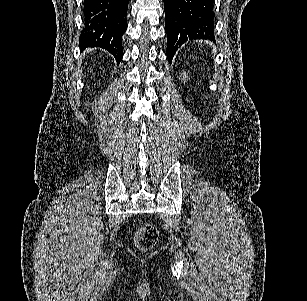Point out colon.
Returning a JSON list of instances; mask_svg holds the SVG:
<instances>
[{"instance_id":"colon-1","label":"colon","mask_w":307,"mask_h":301,"mask_svg":"<svg viewBox=\"0 0 307 301\" xmlns=\"http://www.w3.org/2000/svg\"><path fill=\"white\" fill-rule=\"evenodd\" d=\"M158 230L155 225L145 223L141 225L135 234V245L141 251L150 250L157 242Z\"/></svg>"}]
</instances>
